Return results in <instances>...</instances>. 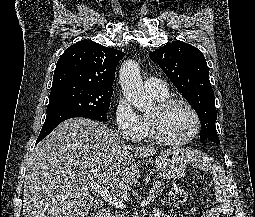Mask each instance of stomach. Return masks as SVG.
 Here are the masks:
<instances>
[{"label":"stomach","instance_id":"obj_1","mask_svg":"<svg viewBox=\"0 0 255 217\" xmlns=\"http://www.w3.org/2000/svg\"><path fill=\"white\" fill-rule=\"evenodd\" d=\"M154 164L159 176L163 179H179L186 171V152L181 148L165 150L156 156Z\"/></svg>","mask_w":255,"mask_h":217}]
</instances>
